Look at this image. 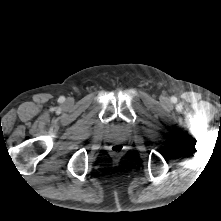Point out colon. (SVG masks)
I'll list each match as a JSON object with an SVG mask.
<instances>
[{
  "label": "colon",
  "mask_w": 221,
  "mask_h": 221,
  "mask_svg": "<svg viewBox=\"0 0 221 221\" xmlns=\"http://www.w3.org/2000/svg\"><path fill=\"white\" fill-rule=\"evenodd\" d=\"M111 151L115 154L121 153L123 151L122 144H114L111 146Z\"/></svg>",
  "instance_id": "5ec220e1"
}]
</instances>
